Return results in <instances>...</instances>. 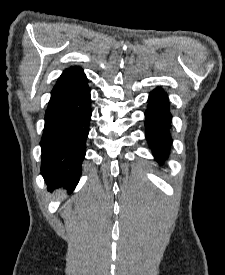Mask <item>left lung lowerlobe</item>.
<instances>
[{
  "label": "left lung lower lobe",
  "instance_id": "obj_1",
  "mask_svg": "<svg viewBox=\"0 0 225 275\" xmlns=\"http://www.w3.org/2000/svg\"><path fill=\"white\" fill-rule=\"evenodd\" d=\"M145 116L146 139L154 157L162 161L167 158L172 144L169 99L162 88L158 87L150 93Z\"/></svg>",
  "mask_w": 225,
  "mask_h": 275
}]
</instances>
